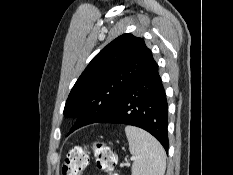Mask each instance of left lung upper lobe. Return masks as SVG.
Listing matches in <instances>:
<instances>
[{
	"instance_id": "left-lung-upper-lobe-1",
	"label": "left lung upper lobe",
	"mask_w": 233,
	"mask_h": 175,
	"mask_svg": "<svg viewBox=\"0 0 233 175\" xmlns=\"http://www.w3.org/2000/svg\"><path fill=\"white\" fill-rule=\"evenodd\" d=\"M152 60L144 40L130 33L104 47L91 60L68 96L64 115H80L70 132L104 116Z\"/></svg>"
}]
</instances>
